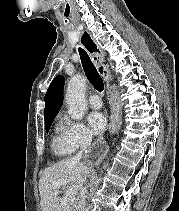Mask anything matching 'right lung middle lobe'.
Wrapping results in <instances>:
<instances>
[{
    "label": "right lung middle lobe",
    "mask_w": 179,
    "mask_h": 211,
    "mask_svg": "<svg viewBox=\"0 0 179 211\" xmlns=\"http://www.w3.org/2000/svg\"><path fill=\"white\" fill-rule=\"evenodd\" d=\"M55 117L49 118L47 120H45V127H46V131L48 132L50 125L52 123V121L54 120Z\"/></svg>",
    "instance_id": "right-lung-middle-lobe-1"
}]
</instances>
